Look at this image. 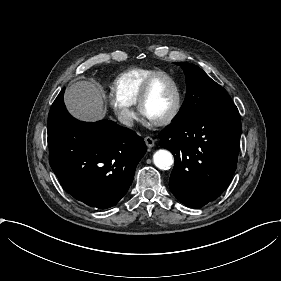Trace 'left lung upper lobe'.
Masks as SVG:
<instances>
[{"instance_id": "1", "label": "left lung upper lobe", "mask_w": 281, "mask_h": 281, "mask_svg": "<svg viewBox=\"0 0 281 281\" xmlns=\"http://www.w3.org/2000/svg\"><path fill=\"white\" fill-rule=\"evenodd\" d=\"M184 70L186 76V97L173 122L213 111L235 106L227 91L213 81L198 66L176 62Z\"/></svg>"}]
</instances>
